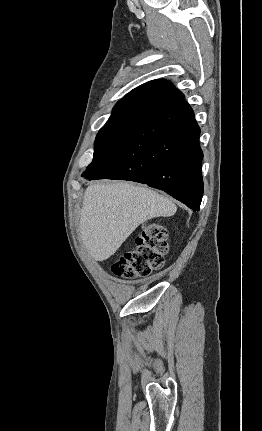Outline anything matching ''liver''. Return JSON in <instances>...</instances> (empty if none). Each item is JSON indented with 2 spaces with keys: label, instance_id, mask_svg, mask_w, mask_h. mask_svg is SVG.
Wrapping results in <instances>:
<instances>
[{
  "label": "liver",
  "instance_id": "obj_1",
  "mask_svg": "<svg viewBox=\"0 0 262 431\" xmlns=\"http://www.w3.org/2000/svg\"><path fill=\"white\" fill-rule=\"evenodd\" d=\"M176 211L171 199L146 187L128 182L89 185L80 211L83 245L94 260L104 261L140 224Z\"/></svg>",
  "mask_w": 262,
  "mask_h": 431
}]
</instances>
